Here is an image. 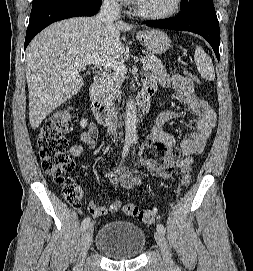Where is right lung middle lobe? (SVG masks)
I'll return each mask as SVG.
<instances>
[{
	"instance_id": "dd1d6c3e",
	"label": "right lung middle lobe",
	"mask_w": 253,
	"mask_h": 271,
	"mask_svg": "<svg viewBox=\"0 0 253 271\" xmlns=\"http://www.w3.org/2000/svg\"><path fill=\"white\" fill-rule=\"evenodd\" d=\"M61 1H66V0H33L31 12L43 6H46L52 3L61 2Z\"/></svg>"
}]
</instances>
